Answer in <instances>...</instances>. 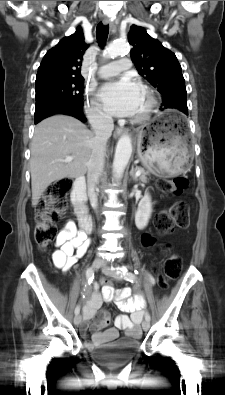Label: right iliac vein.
I'll list each match as a JSON object with an SVG mask.
<instances>
[{
    "label": "right iliac vein",
    "instance_id": "1",
    "mask_svg": "<svg viewBox=\"0 0 225 395\" xmlns=\"http://www.w3.org/2000/svg\"><path fill=\"white\" fill-rule=\"evenodd\" d=\"M103 261L100 258H95V260L92 263V270H97L100 266H102ZM81 322V315L77 314L74 317V324L79 325Z\"/></svg>",
    "mask_w": 225,
    "mask_h": 395
}]
</instances>
